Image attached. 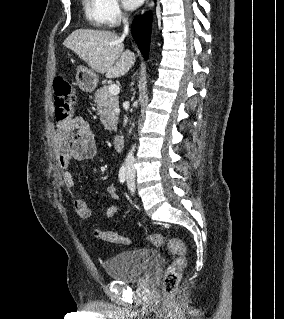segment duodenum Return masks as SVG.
<instances>
[{"instance_id":"duodenum-1","label":"duodenum","mask_w":284,"mask_h":319,"mask_svg":"<svg viewBox=\"0 0 284 319\" xmlns=\"http://www.w3.org/2000/svg\"><path fill=\"white\" fill-rule=\"evenodd\" d=\"M113 145L117 150H120L123 148L124 145V136L117 134L113 138Z\"/></svg>"}]
</instances>
